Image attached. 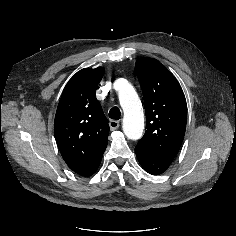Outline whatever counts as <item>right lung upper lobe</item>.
Wrapping results in <instances>:
<instances>
[{"label": "right lung upper lobe", "instance_id": "1", "mask_svg": "<svg viewBox=\"0 0 236 236\" xmlns=\"http://www.w3.org/2000/svg\"><path fill=\"white\" fill-rule=\"evenodd\" d=\"M104 68H85L67 83L59 101L54 134L67 165L82 176L98 168L108 143L109 125L95 91Z\"/></svg>", "mask_w": 236, "mask_h": 236}]
</instances>
